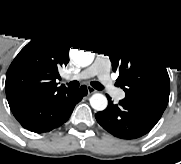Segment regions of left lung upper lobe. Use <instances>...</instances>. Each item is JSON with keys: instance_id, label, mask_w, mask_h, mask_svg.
Segmentation results:
<instances>
[{"instance_id": "1", "label": "left lung upper lobe", "mask_w": 181, "mask_h": 164, "mask_svg": "<svg viewBox=\"0 0 181 164\" xmlns=\"http://www.w3.org/2000/svg\"><path fill=\"white\" fill-rule=\"evenodd\" d=\"M92 44L109 57L113 71L119 72L116 86L125 91V99L165 110L170 94L169 75L146 42L124 32L101 29Z\"/></svg>"}]
</instances>
